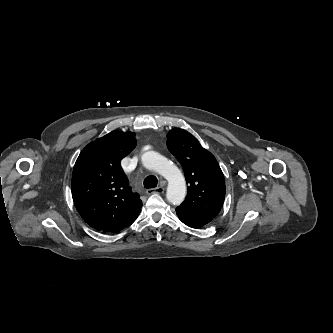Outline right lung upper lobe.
Here are the masks:
<instances>
[{
    "label": "right lung upper lobe",
    "instance_id": "right-lung-upper-lobe-1",
    "mask_svg": "<svg viewBox=\"0 0 333 333\" xmlns=\"http://www.w3.org/2000/svg\"><path fill=\"white\" fill-rule=\"evenodd\" d=\"M136 146L135 133L112 131L89 143L72 174V197L82 219L102 232L118 233L141 212L120 161Z\"/></svg>",
    "mask_w": 333,
    "mask_h": 333
}]
</instances>
